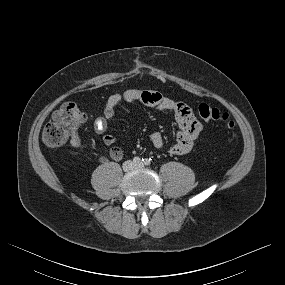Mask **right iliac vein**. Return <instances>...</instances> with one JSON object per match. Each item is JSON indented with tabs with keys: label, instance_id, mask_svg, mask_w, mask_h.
Wrapping results in <instances>:
<instances>
[{
	"label": "right iliac vein",
	"instance_id": "right-iliac-vein-1",
	"mask_svg": "<svg viewBox=\"0 0 285 285\" xmlns=\"http://www.w3.org/2000/svg\"><path fill=\"white\" fill-rule=\"evenodd\" d=\"M134 167V164L131 161H127L123 164V170L124 171H130Z\"/></svg>",
	"mask_w": 285,
	"mask_h": 285
}]
</instances>
